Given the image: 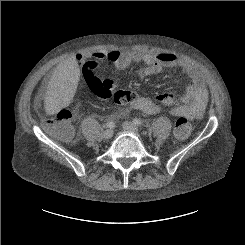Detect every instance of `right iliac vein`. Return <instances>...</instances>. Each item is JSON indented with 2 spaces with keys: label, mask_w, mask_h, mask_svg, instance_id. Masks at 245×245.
I'll return each instance as SVG.
<instances>
[{
  "label": "right iliac vein",
  "mask_w": 245,
  "mask_h": 245,
  "mask_svg": "<svg viewBox=\"0 0 245 245\" xmlns=\"http://www.w3.org/2000/svg\"><path fill=\"white\" fill-rule=\"evenodd\" d=\"M113 134H114V132H113L112 129H106V130L104 131V133H103V137H104L105 139H110V138H112Z\"/></svg>",
  "instance_id": "right-iliac-vein-1"
}]
</instances>
